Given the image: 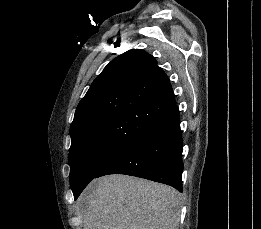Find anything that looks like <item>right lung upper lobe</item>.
Masks as SVG:
<instances>
[{"instance_id":"obj_1","label":"right lung upper lobe","mask_w":261,"mask_h":229,"mask_svg":"<svg viewBox=\"0 0 261 229\" xmlns=\"http://www.w3.org/2000/svg\"><path fill=\"white\" fill-rule=\"evenodd\" d=\"M175 107L165 72L139 49L112 60L77 106L71 145L82 142L131 146Z\"/></svg>"}]
</instances>
